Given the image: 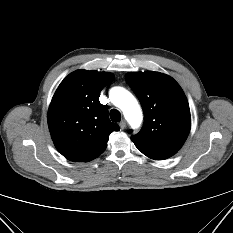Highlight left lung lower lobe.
<instances>
[{
    "label": "left lung lower lobe",
    "mask_w": 233,
    "mask_h": 233,
    "mask_svg": "<svg viewBox=\"0 0 233 233\" xmlns=\"http://www.w3.org/2000/svg\"><path fill=\"white\" fill-rule=\"evenodd\" d=\"M138 149L144 155H146L147 157L154 159V160H164V159H167L175 154V153H168V152H161V151L144 150V149H140V148H138Z\"/></svg>",
    "instance_id": "obj_1"
}]
</instances>
